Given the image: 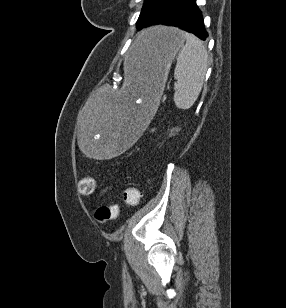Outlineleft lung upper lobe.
Masks as SVG:
<instances>
[{
    "label": "left lung upper lobe",
    "instance_id": "left-lung-upper-lobe-1",
    "mask_svg": "<svg viewBox=\"0 0 286 308\" xmlns=\"http://www.w3.org/2000/svg\"><path fill=\"white\" fill-rule=\"evenodd\" d=\"M172 0H145L139 19L136 23L138 30L152 24L159 13L167 7Z\"/></svg>",
    "mask_w": 286,
    "mask_h": 308
}]
</instances>
